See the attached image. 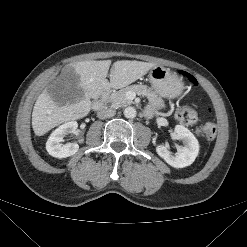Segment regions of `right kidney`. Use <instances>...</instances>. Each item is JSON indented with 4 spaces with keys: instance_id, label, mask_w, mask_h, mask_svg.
I'll return each mask as SVG.
<instances>
[{
    "instance_id": "right-kidney-1",
    "label": "right kidney",
    "mask_w": 247,
    "mask_h": 247,
    "mask_svg": "<svg viewBox=\"0 0 247 247\" xmlns=\"http://www.w3.org/2000/svg\"><path fill=\"white\" fill-rule=\"evenodd\" d=\"M78 127L76 121H71L62 124L55 131L52 132L48 141L46 142L47 152L56 158H66L74 155L78 149L79 145L77 143H67L62 144L64 137L70 133H74Z\"/></svg>"
}]
</instances>
